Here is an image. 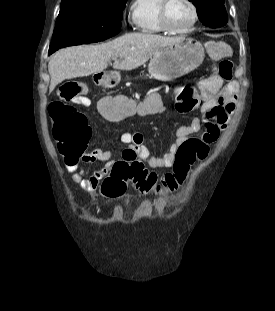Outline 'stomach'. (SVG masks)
I'll list each match as a JSON object with an SVG mask.
<instances>
[{
	"instance_id": "stomach-1",
	"label": "stomach",
	"mask_w": 275,
	"mask_h": 311,
	"mask_svg": "<svg viewBox=\"0 0 275 311\" xmlns=\"http://www.w3.org/2000/svg\"><path fill=\"white\" fill-rule=\"evenodd\" d=\"M205 52L202 44L187 38L160 49L150 60L148 72L159 81H171L197 69L203 62ZM103 87H114L120 82L116 71L103 75Z\"/></svg>"
}]
</instances>
